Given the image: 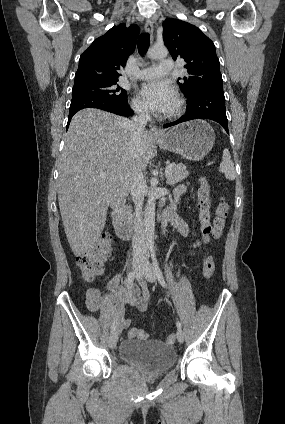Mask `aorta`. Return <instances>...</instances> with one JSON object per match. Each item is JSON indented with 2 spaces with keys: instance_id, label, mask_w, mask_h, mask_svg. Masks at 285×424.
<instances>
[{
  "instance_id": "1",
  "label": "aorta",
  "mask_w": 285,
  "mask_h": 424,
  "mask_svg": "<svg viewBox=\"0 0 285 424\" xmlns=\"http://www.w3.org/2000/svg\"><path fill=\"white\" fill-rule=\"evenodd\" d=\"M168 55V50L165 46H153L147 52L150 59H162ZM158 179L156 177L150 180V192L145 206L144 212V234L146 245L152 247L154 244L155 234V191Z\"/></svg>"
}]
</instances>
